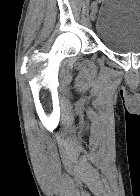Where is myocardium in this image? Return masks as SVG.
I'll return each mask as SVG.
<instances>
[{"label": "myocardium", "instance_id": "f54148a6", "mask_svg": "<svg viewBox=\"0 0 140 196\" xmlns=\"http://www.w3.org/2000/svg\"><path fill=\"white\" fill-rule=\"evenodd\" d=\"M93 192H123V191H93Z\"/></svg>", "mask_w": 140, "mask_h": 196}]
</instances>
